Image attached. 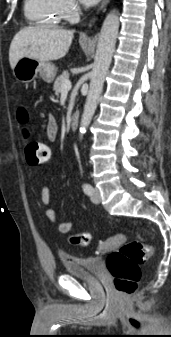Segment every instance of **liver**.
Returning <instances> with one entry per match:
<instances>
[{
  "label": "liver",
  "mask_w": 171,
  "mask_h": 337,
  "mask_svg": "<svg viewBox=\"0 0 171 337\" xmlns=\"http://www.w3.org/2000/svg\"><path fill=\"white\" fill-rule=\"evenodd\" d=\"M73 39V31L54 27H26L13 38L9 62L14 69L17 61L29 57L40 61L58 60L66 55Z\"/></svg>",
  "instance_id": "6515ba94"
}]
</instances>
